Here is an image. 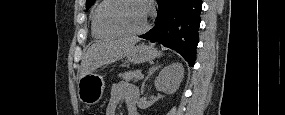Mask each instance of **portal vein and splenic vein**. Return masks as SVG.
Returning <instances> with one entry per match:
<instances>
[{
	"label": "portal vein and splenic vein",
	"mask_w": 285,
	"mask_h": 115,
	"mask_svg": "<svg viewBox=\"0 0 285 115\" xmlns=\"http://www.w3.org/2000/svg\"><path fill=\"white\" fill-rule=\"evenodd\" d=\"M143 77H144V75H143V74H141L139 78H143Z\"/></svg>",
	"instance_id": "portal-vein-and-splenic-vein-1"
}]
</instances>
